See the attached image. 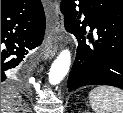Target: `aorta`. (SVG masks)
<instances>
[{
  "mask_svg": "<svg viewBox=\"0 0 123 113\" xmlns=\"http://www.w3.org/2000/svg\"><path fill=\"white\" fill-rule=\"evenodd\" d=\"M71 64V55L68 49L63 50L57 58L54 60L53 64L49 70L48 80L51 85H56L60 83L69 71Z\"/></svg>",
  "mask_w": 123,
  "mask_h": 113,
  "instance_id": "aorta-1",
  "label": "aorta"
}]
</instances>
